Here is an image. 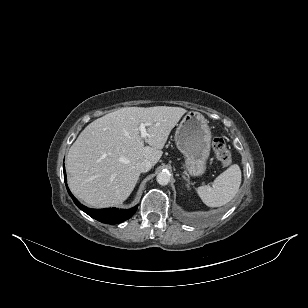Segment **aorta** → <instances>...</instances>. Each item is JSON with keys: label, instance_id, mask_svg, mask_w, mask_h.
I'll list each match as a JSON object with an SVG mask.
<instances>
[{"label": "aorta", "instance_id": "obj_1", "mask_svg": "<svg viewBox=\"0 0 308 308\" xmlns=\"http://www.w3.org/2000/svg\"><path fill=\"white\" fill-rule=\"evenodd\" d=\"M171 176L169 172L162 171L158 173L156 180L160 185H167L170 182Z\"/></svg>", "mask_w": 308, "mask_h": 308}]
</instances>
